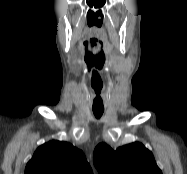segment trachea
I'll return each instance as SVG.
<instances>
[{"mask_svg":"<svg viewBox=\"0 0 187 174\" xmlns=\"http://www.w3.org/2000/svg\"><path fill=\"white\" fill-rule=\"evenodd\" d=\"M104 112V109L93 108V113L96 118H100Z\"/></svg>","mask_w":187,"mask_h":174,"instance_id":"1","label":"trachea"}]
</instances>
